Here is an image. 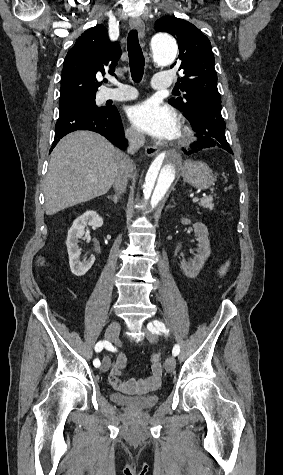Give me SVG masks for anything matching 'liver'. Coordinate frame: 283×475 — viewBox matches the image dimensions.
I'll use <instances>...</instances> for the list:
<instances>
[{
  "label": "liver",
  "instance_id": "obj_1",
  "mask_svg": "<svg viewBox=\"0 0 283 475\" xmlns=\"http://www.w3.org/2000/svg\"><path fill=\"white\" fill-rule=\"evenodd\" d=\"M121 152L95 132H72L51 154L44 196L47 216L110 190Z\"/></svg>",
  "mask_w": 283,
  "mask_h": 475
}]
</instances>
